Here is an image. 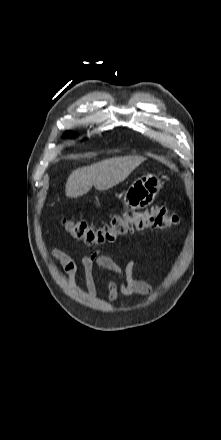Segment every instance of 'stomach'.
<instances>
[{"instance_id": "stomach-1", "label": "stomach", "mask_w": 221, "mask_h": 440, "mask_svg": "<svg viewBox=\"0 0 221 440\" xmlns=\"http://www.w3.org/2000/svg\"><path fill=\"white\" fill-rule=\"evenodd\" d=\"M164 183L156 174H147L133 181L124 195L127 209H141L152 204Z\"/></svg>"}]
</instances>
